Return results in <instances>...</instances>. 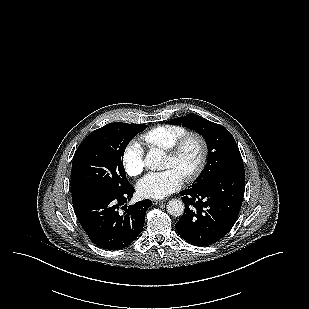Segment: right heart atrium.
<instances>
[{
    "label": "right heart atrium",
    "instance_id": "1",
    "mask_svg": "<svg viewBox=\"0 0 309 309\" xmlns=\"http://www.w3.org/2000/svg\"><path fill=\"white\" fill-rule=\"evenodd\" d=\"M145 153L136 140L130 141L122 154V162L126 172L133 177L140 175L145 169Z\"/></svg>",
    "mask_w": 309,
    "mask_h": 309
}]
</instances>
